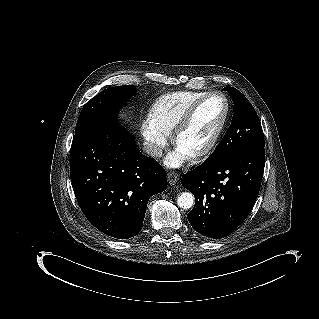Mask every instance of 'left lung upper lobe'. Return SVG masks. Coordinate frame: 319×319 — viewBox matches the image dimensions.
Listing matches in <instances>:
<instances>
[{
  "mask_svg": "<svg viewBox=\"0 0 319 319\" xmlns=\"http://www.w3.org/2000/svg\"><path fill=\"white\" fill-rule=\"evenodd\" d=\"M234 102V115L228 130L206 160L218 163L236 153L264 148V135L259 118L248 99L233 87H225Z\"/></svg>",
  "mask_w": 319,
  "mask_h": 319,
  "instance_id": "1",
  "label": "left lung upper lobe"
}]
</instances>
